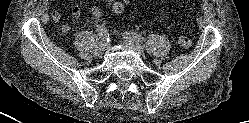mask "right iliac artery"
I'll use <instances>...</instances> for the list:
<instances>
[{"label":"right iliac artery","mask_w":249,"mask_h":123,"mask_svg":"<svg viewBox=\"0 0 249 123\" xmlns=\"http://www.w3.org/2000/svg\"><path fill=\"white\" fill-rule=\"evenodd\" d=\"M97 32L103 41H109V32L104 25H99L97 27Z\"/></svg>","instance_id":"right-iliac-artery-1"}]
</instances>
